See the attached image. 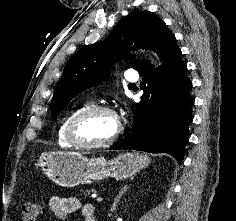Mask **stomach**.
<instances>
[{
  "label": "stomach",
  "instance_id": "0dacf381",
  "mask_svg": "<svg viewBox=\"0 0 236 221\" xmlns=\"http://www.w3.org/2000/svg\"><path fill=\"white\" fill-rule=\"evenodd\" d=\"M150 159L138 152H126L110 160L104 157L87 158L78 152H52L42 154L38 166L56 184L74 187L90 180L113 177L123 180L146 167Z\"/></svg>",
  "mask_w": 236,
  "mask_h": 221
}]
</instances>
